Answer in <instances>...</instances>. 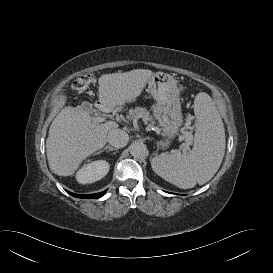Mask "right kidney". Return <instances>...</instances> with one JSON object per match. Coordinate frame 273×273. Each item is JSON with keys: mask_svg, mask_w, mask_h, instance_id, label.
Here are the masks:
<instances>
[{"mask_svg": "<svg viewBox=\"0 0 273 273\" xmlns=\"http://www.w3.org/2000/svg\"><path fill=\"white\" fill-rule=\"evenodd\" d=\"M109 164L105 160H97L85 164L76 173V179L81 184H89L102 179L109 172Z\"/></svg>", "mask_w": 273, "mask_h": 273, "instance_id": "obj_1", "label": "right kidney"}]
</instances>
